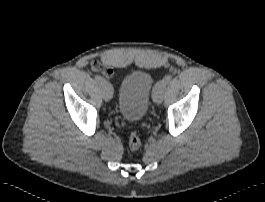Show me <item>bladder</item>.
I'll return each mask as SVG.
<instances>
[{
    "label": "bladder",
    "instance_id": "bladder-1",
    "mask_svg": "<svg viewBox=\"0 0 265 202\" xmlns=\"http://www.w3.org/2000/svg\"><path fill=\"white\" fill-rule=\"evenodd\" d=\"M153 89L151 76L138 71L125 76L120 84L118 110L129 122H139L146 115Z\"/></svg>",
    "mask_w": 265,
    "mask_h": 202
}]
</instances>
